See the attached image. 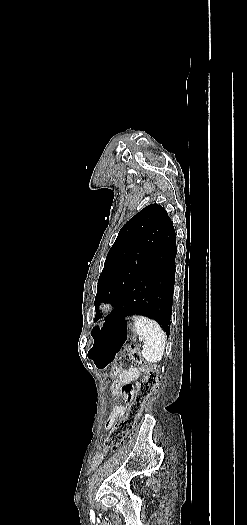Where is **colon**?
Returning a JSON list of instances; mask_svg holds the SVG:
<instances>
[{
	"mask_svg": "<svg viewBox=\"0 0 247 525\" xmlns=\"http://www.w3.org/2000/svg\"><path fill=\"white\" fill-rule=\"evenodd\" d=\"M125 360H131L136 366L144 370L143 379L139 381L137 391L134 395L126 397V413L111 428L105 438L106 448H116L120 446L132 433L134 425L141 415L145 403L151 394L158 389L160 385V374L156 364L147 363L137 349L136 343H130L123 354ZM112 376L119 377L123 370L115 366L111 370Z\"/></svg>",
	"mask_w": 247,
	"mask_h": 525,
	"instance_id": "colon-1",
	"label": "colon"
}]
</instances>
